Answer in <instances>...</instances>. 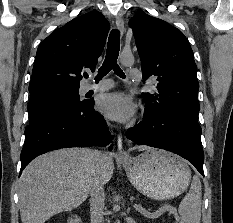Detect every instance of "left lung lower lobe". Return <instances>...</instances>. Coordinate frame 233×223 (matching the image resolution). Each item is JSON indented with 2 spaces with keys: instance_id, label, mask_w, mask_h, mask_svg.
<instances>
[{
  "instance_id": "obj_1",
  "label": "left lung lower lobe",
  "mask_w": 233,
  "mask_h": 223,
  "mask_svg": "<svg viewBox=\"0 0 233 223\" xmlns=\"http://www.w3.org/2000/svg\"><path fill=\"white\" fill-rule=\"evenodd\" d=\"M126 137L138 145L171 151L190 161L204 176L201 127L197 116L171 114L160 118L144 115L143 121L128 129Z\"/></svg>"
}]
</instances>
